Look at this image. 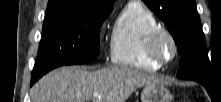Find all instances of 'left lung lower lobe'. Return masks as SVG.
<instances>
[{
  "instance_id": "obj_1",
  "label": "left lung lower lobe",
  "mask_w": 221,
  "mask_h": 102,
  "mask_svg": "<svg viewBox=\"0 0 221 102\" xmlns=\"http://www.w3.org/2000/svg\"><path fill=\"white\" fill-rule=\"evenodd\" d=\"M201 84H203V85L205 86V88L208 89L209 84H210V80L205 81V82H203V83H201Z\"/></svg>"
}]
</instances>
